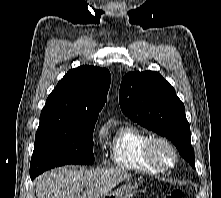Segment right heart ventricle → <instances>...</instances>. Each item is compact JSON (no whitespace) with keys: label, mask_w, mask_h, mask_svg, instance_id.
Returning <instances> with one entry per match:
<instances>
[{"label":"right heart ventricle","mask_w":221,"mask_h":198,"mask_svg":"<svg viewBox=\"0 0 221 198\" xmlns=\"http://www.w3.org/2000/svg\"><path fill=\"white\" fill-rule=\"evenodd\" d=\"M150 136L135 126L120 127L110 142L109 153L112 162L125 170L145 173L160 172L145 158L144 147Z\"/></svg>","instance_id":"e07e8e85"}]
</instances>
